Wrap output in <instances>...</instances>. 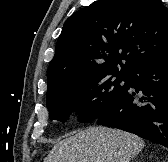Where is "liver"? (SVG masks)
I'll return each instance as SVG.
<instances>
[{"label":"liver","instance_id":"obj_1","mask_svg":"<svg viewBox=\"0 0 168 162\" xmlns=\"http://www.w3.org/2000/svg\"><path fill=\"white\" fill-rule=\"evenodd\" d=\"M144 146L132 133L89 127L59 141L43 162H130Z\"/></svg>","mask_w":168,"mask_h":162}]
</instances>
